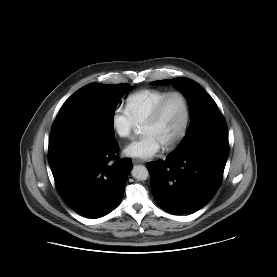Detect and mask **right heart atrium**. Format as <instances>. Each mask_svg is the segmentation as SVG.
<instances>
[{
  "instance_id": "1",
  "label": "right heart atrium",
  "mask_w": 277,
  "mask_h": 277,
  "mask_svg": "<svg viewBox=\"0 0 277 277\" xmlns=\"http://www.w3.org/2000/svg\"><path fill=\"white\" fill-rule=\"evenodd\" d=\"M112 128L120 138H130L138 124L131 117L127 109L118 107L111 117Z\"/></svg>"
}]
</instances>
